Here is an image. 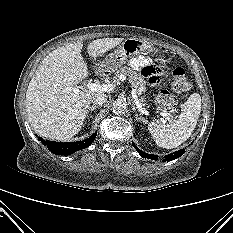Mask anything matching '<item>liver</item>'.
I'll use <instances>...</instances> for the list:
<instances>
[{"instance_id":"obj_1","label":"liver","mask_w":233,"mask_h":233,"mask_svg":"<svg viewBox=\"0 0 233 233\" xmlns=\"http://www.w3.org/2000/svg\"><path fill=\"white\" fill-rule=\"evenodd\" d=\"M123 38H103L90 42L89 56L97 74L106 75L103 61H96L115 48ZM83 42L59 47L47 55L37 68L26 92L28 120L38 135L51 140H68L82 128L93 96L91 90H68L85 79L88 68L81 55Z\"/></svg>"}]
</instances>
